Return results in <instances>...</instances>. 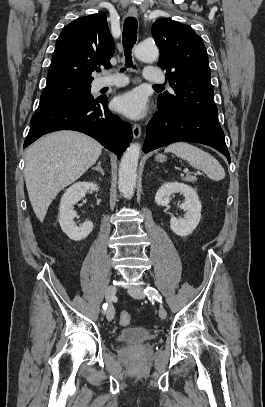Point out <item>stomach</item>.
<instances>
[{
    "mask_svg": "<svg viewBox=\"0 0 265 407\" xmlns=\"http://www.w3.org/2000/svg\"><path fill=\"white\" fill-rule=\"evenodd\" d=\"M156 159H157L159 162H163V161H165V156L162 155V154H159V155L156 157Z\"/></svg>",
    "mask_w": 265,
    "mask_h": 407,
    "instance_id": "1",
    "label": "stomach"
}]
</instances>
